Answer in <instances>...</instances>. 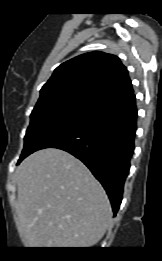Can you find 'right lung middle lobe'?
<instances>
[{"label":"right lung middle lobe","instance_id":"dd1d6c3e","mask_svg":"<svg viewBox=\"0 0 162 261\" xmlns=\"http://www.w3.org/2000/svg\"><path fill=\"white\" fill-rule=\"evenodd\" d=\"M98 100L81 92H67L39 98L31 113L21 157L28 155L50 133L65 123L99 106Z\"/></svg>","mask_w":162,"mask_h":261}]
</instances>
